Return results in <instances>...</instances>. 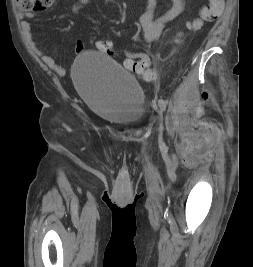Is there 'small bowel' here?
I'll return each instance as SVG.
<instances>
[{
    "instance_id": "c3829d8e",
    "label": "small bowel",
    "mask_w": 253,
    "mask_h": 267,
    "mask_svg": "<svg viewBox=\"0 0 253 267\" xmlns=\"http://www.w3.org/2000/svg\"><path fill=\"white\" fill-rule=\"evenodd\" d=\"M90 4V0H77V2L72 6L71 11L74 14L80 13L85 7ZM157 0H148L145 13L140 18V26L144 34V38L147 42L156 41L162 34L165 25L181 15L185 8L184 0H172V5L161 15L156 16ZM32 16V14H27ZM22 33L33 51L41 57V59L46 63L53 62L48 51L40 46H38L33 38L31 33V25L27 21H22L21 23ZM83 45L81 43L77 44L76 51L80 53L83 51Z\"/></svg>"
}]
</instances>
